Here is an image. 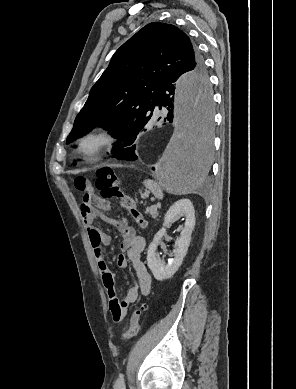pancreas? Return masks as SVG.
Masks as SVG:
<instances>
[{
    "instance_id": "cf45deb5",
    "label": "pancreas",
    "mask_w": 296,
    "mask_h": 389,
    "mask_svg": "<svg viewBox=\"0 0 296 389\" xmlns=\"http://www.w3.org/2000/svg\"><path fill=\"white\" fill-rule=\"evenodd\" d=\"M153 217L156 216V212H157V207L156 206H152L150 208H148L147 210Z\"/></svg>"
}]
</instances>
